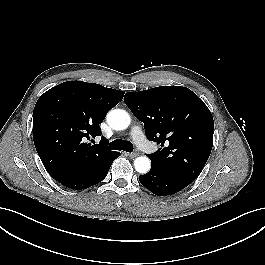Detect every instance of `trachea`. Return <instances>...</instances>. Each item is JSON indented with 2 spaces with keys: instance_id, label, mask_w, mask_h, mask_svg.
I'll use <instances>...</instances> for the list:
<instances>
[{
  "instance_id": "3493384b",
  "label": "trachea",
  "mask_w": 265,
  "mask_h": 265,
  "mask_svg": "<svg viewBox=\"0 0 265 265\" xmlns=\"http://www.w3.org/2000/svg\"><path fill=\"white\" fill-rule=\"evenodd\" d=\"M109 148L112 150H123L126 152H132L133 146L129 141L116 139L109 144Z\"/></svg>"
}]
</instances>
